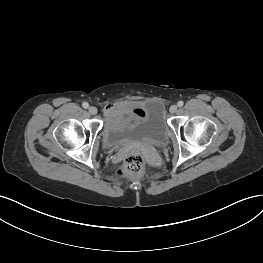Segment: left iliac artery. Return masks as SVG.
<instances>
[{"instance_id":"44dca946","label":"left iliac artery","mask_w":263,"mask_h":263,"mask_svg":"<svg viewBox=\"0 0 263 263\" xmlns=\"http://www.w3.org/2000/svg\"><path fill=\"white\" fill-rule=\"evenodd\" d=\"M177 105H178L179 107H182V106L184 105V102H183V101H179V102L177 103Z\"/></svg>"}]
</instances>
